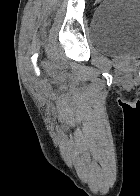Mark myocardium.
I'll return each mask as SVG.
<instances>
[{"label":"myocardium","mask_w":140,"mask_h":196,"mask_svg":"<svg viewBox=\"0 0 140 196\" xmlns=\"http://www.w3.org/2000/svg\"><path fill=\"white\" fill-rule=\"evenodd\" d=\"M92 192H109V191H92Z\"/></svg>","instance_id":"1"}]
</instances>
